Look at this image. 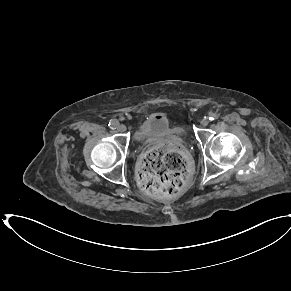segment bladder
Returning a JSON list of instances; mask_svg holds the SVG:
<instances>
[{
  "instance_id": "31cf9c89",
  "label": "bladder",
  "mask_w": 291,
  "mask_h": 291,
  "mask_svg": "<svg viewBox=\"0 0 291 291\" xmlns=\"http://www.w3.org/2000/svg\"><path fill=\"white\" fill-rule=\"evenodd\" d=\"M136 133L142 138H157L167 134L181 135L183 127L173 125L164 114L152 115L137 128Z\"/></svg>"
}]
</instances>
